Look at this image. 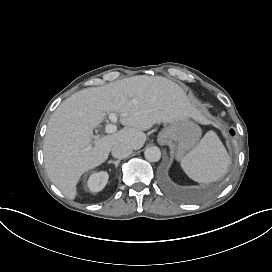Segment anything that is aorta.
I'll return each mask as SVG.
<instances>
[{
    "label": "aorta",
    "instance_id": "obj_1",
    "mask_svg": "<svg viewBox=\"0 0 272 272\" xmlns=\"http://www.w3.org/2000/svg\"><path fill=\"white\" fill-rule=\"evenodd\" d=\"M145 158L149 162H157L161 159V151L158 147H148L145 151Z\"/></svg>",
    "mask_w": 272,
    "mask_h": 272
}]
</instances>
